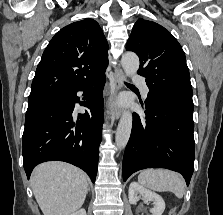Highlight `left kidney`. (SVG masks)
Wrapping results in <instances>:
<instances>
[{
	"label": "left kidney",
	"mask_w": 223,
	"mask_h": 215,
	"mask_svg": "<svg viewBox=\"0 0 223 215\" xmlns=\"http://www.w3.org/2000/svg\"><path fill=\"white\" fill-rule=\"evenodd\" d=\"M138 193H140L142 199H146V201H153L154 205L150 209L152 215H162L165 209V201L161 195H158L155 191H151V189H146L143 185H139L137 181H132L129 185L130 203H136V201H138Z\"/></svg>",
	"instance_id": "5707ae66"
}]
</instances>
